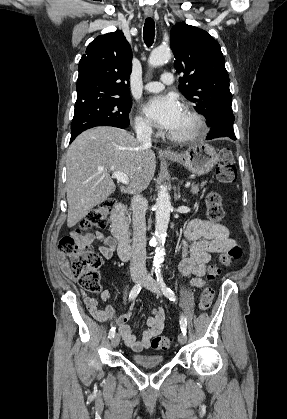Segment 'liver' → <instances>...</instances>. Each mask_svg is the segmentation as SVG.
I'll use <instances>...</instances> for the list:
<instances>
[{
	"label": "liver",
	"mask_w": 287,
	"mask_h": 419,
	"mask_svg": "<svg viewBox=\"0 0 287 419\" xmlns=\"http://www.w3.org/2000/svg\"><path fill=\"white\" fill-rule=\"evenodd\" d=\"M67 226H75L116 186L110 172L129 177L128 193L141 192L152 180L155 154L125 130L101 126L81 133L67 151Z\"/></svg>",
	"instance_id": "6515ba94"
}]
</instances>
